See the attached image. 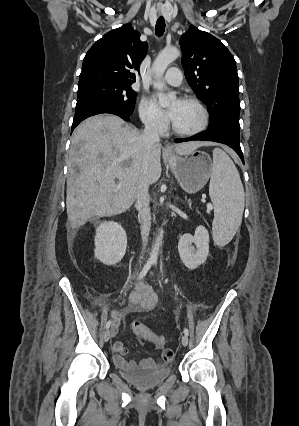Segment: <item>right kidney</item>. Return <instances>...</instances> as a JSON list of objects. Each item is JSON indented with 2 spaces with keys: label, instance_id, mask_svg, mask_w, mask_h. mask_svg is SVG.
Segmentation results:
<instances>
[{
  "label": "right kidney",
  "instance_id": "1",
  "mask_svg": "<svg viewBox=\"0 0 299 426\" xmlns=\"http://www.w3.org/2000/svg\"><path fill=\"white\" fill-rule=\"evenodd\" d=\"M94 243L95 258L105 265H115L125 255L127 247L126 232L117 222H102L96 228Z\"/></svg>",
  "mask_w": 299,
  "mask_h": 426
}]
</instances>
